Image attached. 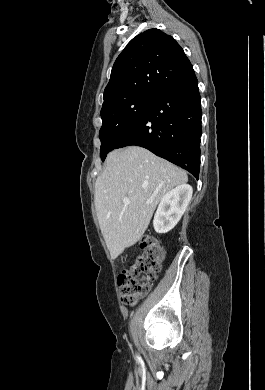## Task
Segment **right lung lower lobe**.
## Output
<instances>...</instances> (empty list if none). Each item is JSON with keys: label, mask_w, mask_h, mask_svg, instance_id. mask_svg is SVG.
<instances>
[{"label": "right lung lower lobe", "mask_w": 265, "mask_h": 390, "mask_svg": "<svg viewBox=\"0 0 265 390\" xmlns=\"http://www.w3.org/2000/svg\"><path fill=\"white\" fill-rule=\"evenodd\" d=\"M201 116V97L191 66L155 96L115 149L130 145L144 147L198 179Z\"/></svg>", "instance_id": "1"}]
</instances>
